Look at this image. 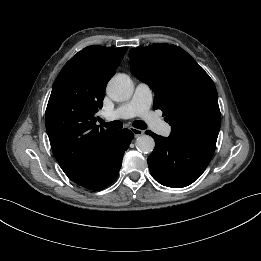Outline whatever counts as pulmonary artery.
<instances>
[{
	"instance_id": "1",
	"label": "pulmonary artery",
	"mask_w": 261,
	"mask_h": 261,
	"mask_svg": "<svg viewBox=\"0 0 261 261\" xmlns=\"http://www.w3.org/2000/svg\"><path fill=\"white\" fill-rule=\"evenodd\" d=\"M153 93L151 88L143 82L137 84L132 98L119 105L116 109L105 112L103 117L108 120L128 119L139 116L144 119L151 128L161 135L170 134V126L158 118L152 111L151 105Z\"/></svg>"
}]
</instances>
